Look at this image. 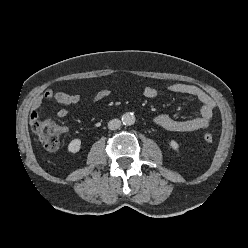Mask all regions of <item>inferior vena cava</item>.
<instances>
[{"instance_id":"inferior-vena-cava-1","label":"inferior vena cava","mask_w":248,"mask_h":248,"mask_svg":"<svg viewBox=\"0 0 248 248\" xmlns=\"http://www.w3.org/2000/svg\"><path fill=\"white\" fill-rule=\"evenodd\" d=\"M121 126V121L119 119H112L108 122V128L110 130H116Z\"/></svg>"}]
</instances>
